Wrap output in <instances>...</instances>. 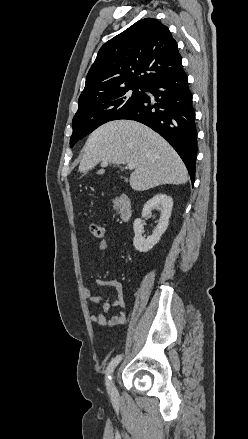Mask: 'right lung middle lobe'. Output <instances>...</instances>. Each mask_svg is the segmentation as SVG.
<instances>
[{
  "label": "right lung middle lobe",
  "instance_id": "dd1d6c3e",
  "mask_svg": "<svg viewBox=\"0 0 248 439\" xmlns=\"http://www.w3.org/2000/svg\"><path fill=\"white\" fill-rule=\"evenodd\" d=\"M144 92L143 87H124L79 105L72 121L70 146L100 125L119 119L143 97Z\"/></svg>",
  "mask_w": 248,
  "mask_h": 439
}]
</instances>
